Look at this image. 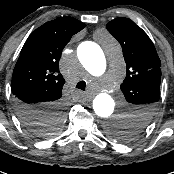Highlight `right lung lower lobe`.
<instances>
[{"instance_id":"right-lung-lower-lobe-1","label":"right lung lower lobe","mask_w":174,"mask_h":174,"mask_svg":"<svg viewBox=\"0 0 174 174\" xmlns=\"http://www.w3.org/2000/svg\"><path fill=\"white\" fill-rule=\"evenodd\" d=\"M15 100H16V109L20 117H21L20 115L21 112L40 111L41 109H43V107L47 105H53L58 107V109L62 110V105L59 103V101H55L52 103H47V102L33 103L32 102L33 98L24 95L18 96ZM36 107L40 108L36 109Z\"/></svg>"}]
</instances>
